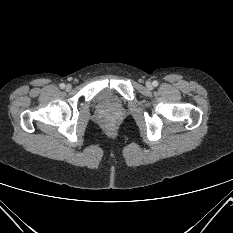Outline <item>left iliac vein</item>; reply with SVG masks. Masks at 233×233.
Instances as JSON below:
<instances>
[{
  "instance_id": "1",
  "label": "left iliac vein",
  "mask_w": 233,
  "mask_h": 233,
  "mask_svg": "<svg viewBox=\"0 0 233 233\" xmlns=\"http://www.w3.org/2000/svg\"><path fill=\"white\" fill-rule=\"evenodd\" d=\"M146 87H147L148 89H152V84H151L150 82H147V83H146Z\"/></svg>"
}]
</instances>
